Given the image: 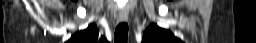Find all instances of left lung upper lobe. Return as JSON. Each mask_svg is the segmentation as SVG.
I'll return each mask as SVG.
<instances>
[{"label":"left lung upper lobe","mask_w":256,"mask_h":43,"mask_svg":"<svg viewBox=\"0 0 256 43\" xmlns=\"http://www.w3.org/2000/svg\"><path fill=\"white\" fill-rule=\"evenodd\" d=\"M142 43H182L169 30L162 29L156 24H151L144 31Z\"/></svg>","instance_id":"left-lung-upper-lobe-1"}]
</instances>
